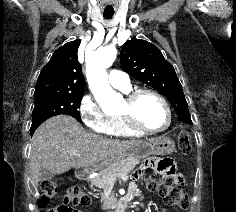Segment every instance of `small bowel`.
Segmentation results:
<instances>
[{
	"label": "small bowel",
	"instance_id": "1",
	"mask_svg": "<svg viewBox=\"0 0 236 212\" xmlns=\"http://www.w3.org/2000/svg\"><path fill=\"white\" fill-rule=\"evenodd\" d=\"M163 164H166V160L162 161ZM160 173H167L169 171L168 167L159 168Z\"/></svg>",
	"mask_w": 236,
	"mask_h": 212
}]
</instances>
